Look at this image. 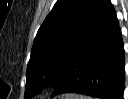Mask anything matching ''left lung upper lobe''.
I'll return each instance as SVG.
<instances>
[{
	"label": "left lung upper lobe",
	"mask_w": 128,
	"mask_h": 99,
	"mask_svg": "<svg viewBox=\"0 0 128 99\" xmlns=\"http://www.w3.org/2000/svg\"><path fill=\"white\" fill-rule=\"evenodd\" d=\"M110 0H58L39 28L26 70L24 98L55 86L72 56L85 44Z\"/></svg>",
	"instance_id": "1"
}]
</instances>
